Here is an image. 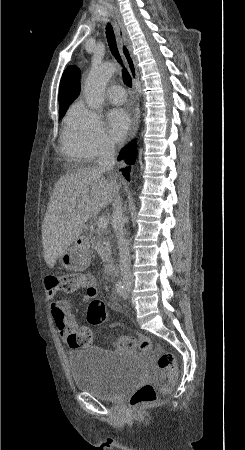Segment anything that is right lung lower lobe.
I'll return each mask as SVG.
<instances>
[{
    "label": "right lung lower lobe",
    "instance_id": "1",
    "mask_svg": "<svg viewBox=\"0 0 245 450\" xmlns=\"http://www.w3.org/2000/svg\"><path fill=\"white\" fill-rule=\"evenodd\" d=\"M135 156H136V147L135 145L132 143L129 146H126L125 148H123V150H121V152L119 153V159H126L125 162L126 163H131L133 164L135 161ZM130 167L124 168L122 169V174L125 176V178L127 180L130 179Z\"/></svg>",
    "mask_w": 245,
    "mask_h": 450
}]
</instances>
